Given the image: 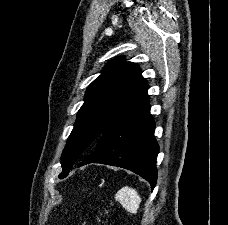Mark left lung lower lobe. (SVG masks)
<instances>
[{
	"instance_id": "0a47b994",
	"label": "left lung lower lobe",
	"mask_w": 228,
	"mask_h": 225,
	"mask_svg": "<svg viewBox=\"0 0 228 225\" xmlns=\"http://www.w3.org/2000/svg\"><path fill=\"white\" fill-rule=\"evenodd\" d=\"M155 122L147 95L133 109L113 123L99 138L92 153L78 165L101 163L128 169L147 180L154 189L159 146L154 137Z\"/></svg>"
}]
</instances>
